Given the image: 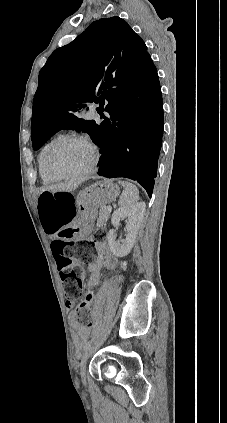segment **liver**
<instances>
[{"label": "liver", "instance_id": "6515ba94", "mask_svg": "<svg viewBox=\"0 0 227 423\" xmlns=\"http://www.w3.org/2000/svg\"><path fill=\"white\" fill-rule=\"evenodd\" d=\"M78 188V184L74 182H60V184H47L42 192H73Z\"/></svg>", "mask_w": 227, "mask_h": 423}]
</instances>
